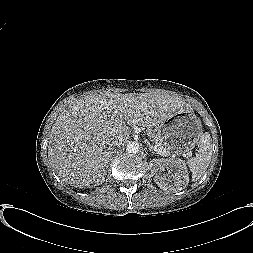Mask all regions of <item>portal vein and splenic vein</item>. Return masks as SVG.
Masks as SVG:
<instances>
[{
	"mask_svg": "<svg viewBox=\"0 0 253 253\" xmlns=\"http://www.w3.org/2000/svg\"><path fill=\"white\" fill-rule=\"evenodd\" d=\"M153 149L158 152L159 154L163 155V156H167L168 152L163 150L159 144H153L152 145Z\"/></svg>",
	"mask_w": 253,
	"mask_h": 253,
	"instance_id": "obj_1",
	"label": "portal vein and splenic vein"
}]
</instances>
